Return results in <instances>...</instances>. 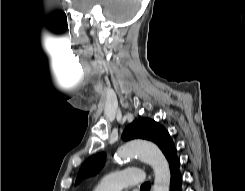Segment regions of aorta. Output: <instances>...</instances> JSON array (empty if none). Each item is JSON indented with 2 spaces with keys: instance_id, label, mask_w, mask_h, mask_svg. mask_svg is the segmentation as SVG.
<instances>
[{
  "instance_id": "762f6f07",
  "label": "aorta",
  "mask_w": 245,
  "mask_h": 191,
  "mask_svg": "<svg viewBox=\"0 0 245 191\" xmlns=\"http://www.w3.org/2000/svg\"><path fill=\"white\" fill-rule=\"evenodd\" d=\"M115 157L124 161L134 157L140 158L154 171L153 191H169L171 178L169 164L155 144L143 140L130 141L117 149Z\"/></svg>"
}]
</instances>
